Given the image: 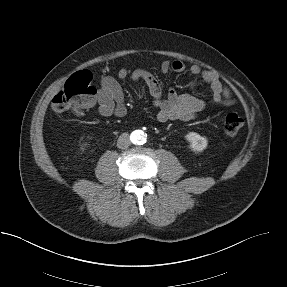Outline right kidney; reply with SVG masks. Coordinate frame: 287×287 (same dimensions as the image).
<instances>
[{"label":"right kidney","mask_w":287,"mask_h":287,"mask_svg":"<svg viewBox=\"0 0 287 287\" xmlns=\"http://www.w3.org/2000/svg\"><path fill=\"white\" fill-rule=\"evenodd\" d=\"M87 145H88L87 143H84L82 147L85 148Z\"/></svg>","instance_id":"obj_1"}]
</instances>
